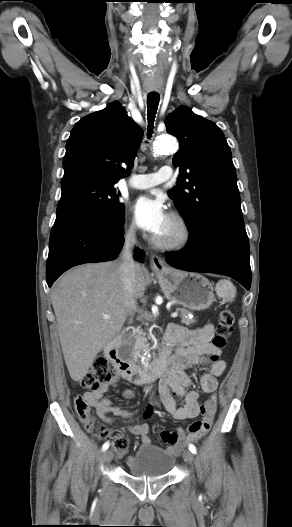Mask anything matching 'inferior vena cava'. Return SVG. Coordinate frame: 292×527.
I'll list each match as a JSON object with an SVG mask.
<instances>
[{
	"label": "inferior vena cava",
	"instance_id": "inferior-vena-cava-1",
	"mask_svg": "<svg viewBox=\"0 0 292 527\" xmlns=\"http://www.w3.org/2000/svg\"><path fill=\"white\" fill-rule=\"evenodd\" d=\"M136 243L135 231L131 229L125 237L124 247L119 257L121 262V279L124 288L125 305L128 309V316L132 318L137 309L135 299V269L136 264L133 258V250Z\"/></svg>",
	"mask_w": 292,
	"mask_h": 527
}]
</instances>
